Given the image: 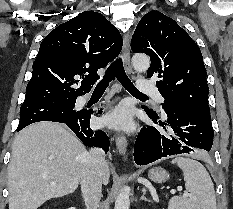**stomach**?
Wrapping results in <instances>:
<instances>
[{
	"label": "stomach",
	"mask_w": 233,
	"mask_h": 209,
	"mask_svg": "<svg viewBox=\"0 0 233 209\" xmlns=\"http://www.w3.org/2000/svg\"><path fill=\"white\" fill-rule=\"evenodd\" d=\"M149 178L155 183H163L167 179V173L161 168H153L149 171Z\"/></svg>",
	"instance_id": "1"
}]
</instances>
